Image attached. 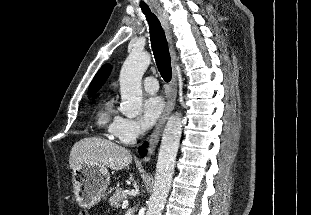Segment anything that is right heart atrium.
<instances>
[{"label":"right heart atrium","instance_id":"d8ad5b80","mask_svg":"<svg viewBox=\"0 0 311 215\" xmlns=\"http://www.w3.org/2000/svg\"><path fill=\"white\" fill-rule=\"evenodd\" d=\"M113 136L123 144H133L141 134L136 120L121 117L112 131Z\"/></svg>","mask_w":311,"mask_h":215}]
</instances>
